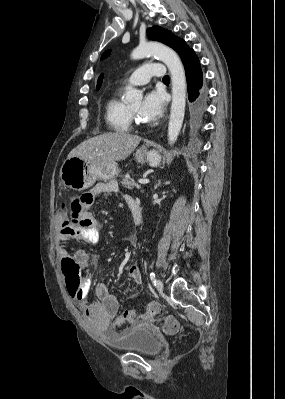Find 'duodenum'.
<instances>
[{
    "instance_id": "duodenum-1",
    "label": "duodenum",
    "mask_w": 285,
    "mask_h": 399,
    "mask_svg": "<svg viewBox=\"0 0 285 399\" xmlns=\"http://www.w3.org/2000/svg\"><path fill=\"white\" fill-rule=\"evenodd\" d=\"M131 212L134 222L136 223V225H139L141 223V218H142L141 209L138 206H133Z\"/></svg>"
}]
</instances>
